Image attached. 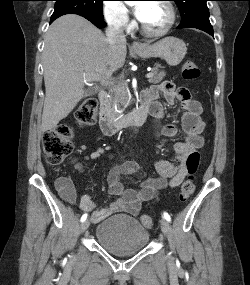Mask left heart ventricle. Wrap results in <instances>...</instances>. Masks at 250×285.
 <instances>
[{
	"instance_id": "b2bd125f",
	"label": "left heart ventricle",
	"mask_w": 250,
	"mask_h": 285,
	"mask_svg": "<svg viewBox=\"0 0 250 285\" xmlns=\"http://www.w3.org/2000/svg\"><path fill=\"white\" fill-rule=\"evenodd\" d=\"M169 13L167 8L158 2L147 4L145 15L142 19L143 25L152 31L161 30L168 22Z\"/></svg>"
}]
</instances>
